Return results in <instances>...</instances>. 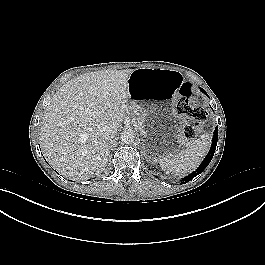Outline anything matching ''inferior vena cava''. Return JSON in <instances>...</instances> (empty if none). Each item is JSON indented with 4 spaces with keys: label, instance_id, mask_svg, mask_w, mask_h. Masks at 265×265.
Returning <instances> with one entry per match:
<instances>
[{
    "label": "inferior vena cava",
    "instance_id": "obj_1",
    "mask_svg": "<svg viewBox=\"0 0 265 265\" xmlns=\"http://www.w3.org/2000/svg\"><path fill=\"white\" fill-rule=\"evenodd\" d=\"M117 128L113 126H105L101 130V135L104 139H111L117 135Z\"/></svg>",
    "mask_w": 265,
    "mask_h": 265
}]
</instances>
